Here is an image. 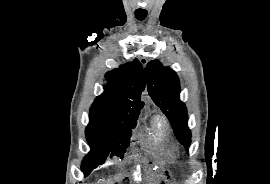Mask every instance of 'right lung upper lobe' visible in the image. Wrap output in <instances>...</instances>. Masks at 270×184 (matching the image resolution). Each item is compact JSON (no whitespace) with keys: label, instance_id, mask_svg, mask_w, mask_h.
Listing matches in <instances>:
<instances>
[{"label":"right lung upper lobe","instance_id":"right-lung-upper-lobe-1","mask_svg":"<svg viewBox=\"0 0 270 184\" xmlns=\"http://www.w3.org/2000/svg\"><path fill=\"white\" fill-rule=\"evenodd\" d=\"M107 86L90 108V118L97 121L128 123L137 121L144 103L145 72L138 60L121 65L105 75Z\"/></svg>","mask_w":270,"mask_h":184}]
</instances>
